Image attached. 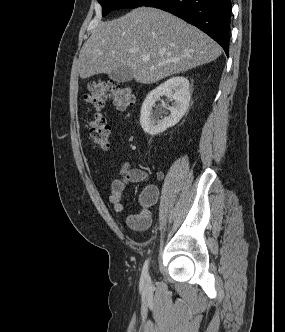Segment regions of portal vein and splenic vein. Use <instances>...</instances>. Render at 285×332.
Here are the masks:
<instances>
[{"label": "portal vein and splenic vein", "mask_w": 285, "mask_h": 332, "mask_svg": "<svg viewBox=\"0 0 285 332\" xmlns=\"http://www.w3.org/2000/svg\"><path fill=\"white\" fill-rule=\"evenodd\" d=\"M142 61L143 62H148L149 61V56L142 57ZM159 65H161V64H159Z\"/></svg>", "instance_id": "obj_1"}]
</instances>
